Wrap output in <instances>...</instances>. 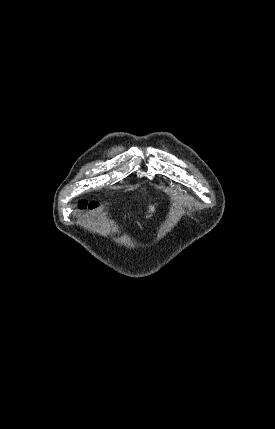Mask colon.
I'll use <instances>...</instances> for the list:
<instances>
[{
    "label": "colon",
    "instance_id": "5ec220e1",
    "mask_svg": "<svg viewBox=\"0 0 275 429\" xmlns=\"http://www.w3.org/2000/svg\"><path fill=\"white\" fill-rule=\"evenodd\" d=\"M81 208H89V209H96V208H98L99 207V204L97 203V202H89V203H86V202H81L80 203V205H79Z\"/></svg>",
    "mask_w": 275,
    "mask_h": 429
}]
</instances>
